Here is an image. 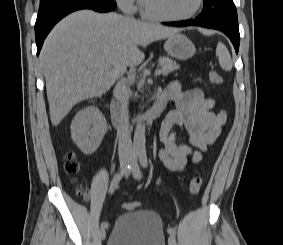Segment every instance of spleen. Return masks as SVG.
Wrapping results in <instances>:
<instances>
[{
  "instance_id": "spleen-1",
  "label": "spleen",
  "mask_w": 283,
  "mask_h": 245,
  "mask_svg": "<svg viewBox=\"0 0 283 245\" xmlns=\"http://www.w3.org/2000/svg\"><path fill=\"white\" fill-rule=\"evenodd\" d=\"M216 55L219 59L220 67L225 71L232 69V60L230 53L223 43H218L216 47Z\"/></svg>"
}]
</instances>
